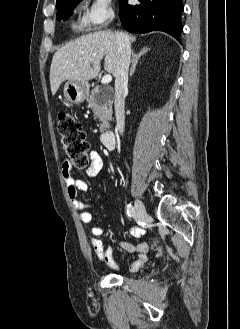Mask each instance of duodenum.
<instances>
[{
  "mask_svg": "<svg viewBox=\"0 0 240 329\" xmlns=\"http://www.w3.org/2000/svg\"><path fill=\"white\" fill-rule=\"evenodd\" d=\"M100 140L106 149L112 150L114 148L115 132L113 130H107L103 132L101 134Z\"/></svg>",
  "mask_w": 240,
  "mask_h": 329,
  "instance_id": "410a0bca",
  "label": "duodenum"
}]
</instances>
